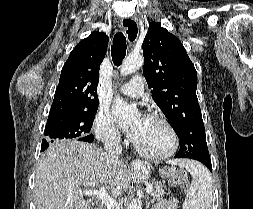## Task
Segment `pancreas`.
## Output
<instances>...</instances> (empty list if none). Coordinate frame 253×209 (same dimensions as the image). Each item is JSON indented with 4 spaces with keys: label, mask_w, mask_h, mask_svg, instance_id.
<instances>
[{
    "label": "pancreas",
    "mask_w": 253,
    "mask_h": 209,
    "mask_svg": "<svg viewBox=\"0 0 253 209\" xmlns=\"http://www.w3.org/2000/svg\"><path fill=\"white\" fill-rule=\"evenodd\" d=\"M166 185L165 182H155L153 185V190L150 192L152 201H160L165 194Z\"/></svg>",
    "instance_id": "pancreas-1"
}]
</instances>
